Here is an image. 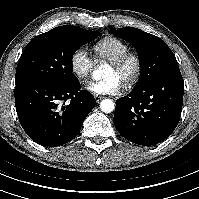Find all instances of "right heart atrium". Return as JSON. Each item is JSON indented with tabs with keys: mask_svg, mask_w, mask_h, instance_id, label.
I'll return each instance as SVG.
<instances>
[{
	"mask_svg": "<svg viewBox=\"0 0 199 199\" xmlns=\"http://www.w3.org/2000/svg\"><path fill=\"white\" fill-rule=\"evenodd\" d=\"M92 58L84 47L77 48L70 58V69L80 81H86L92 69Z\"/></svg>",
	"mask_w": 199,
	"mask_h": 199,
	"instance_id": "right-heart-atrium-1",
	"label": "right heart atrium"
}]
</instances>
